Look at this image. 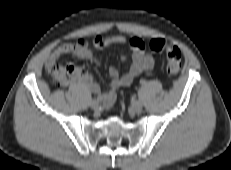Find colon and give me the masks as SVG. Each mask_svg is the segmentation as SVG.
<instances>
[{
    "label": "colon",
    "instance_id": "obj_1",
    "mask_svg": "<svg viewBox=\"0 0 231 170\" xmlns=\"http://www.w3.org/2000/svg\"><path fill=\"white\" fill-rule=\"evenodd\" d=\"M149 48L155 53H165L167 60V73L169 76H176L181 69V51L175 46L168 44L160 38L152 39ZM55 86L67 85L72 79L82 75L83 70L74 65L54 64L47 68Z\"/></svg>",
    "mask_w": 231,
    "mask_h": 170
}]
</instances>
